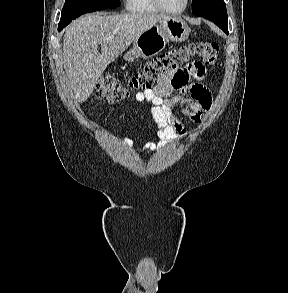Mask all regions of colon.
Instances as JSON below:
<instances>
[{"label": "colon", "instance_id": "1", "mask_svg": "<svg viewBox=\"0 0 288 293\" xmlns=\"http://www.w3.org/2000/svg\"><path fill=\"white\" fill-rule=\"evenodd\" d=\"M218 55L219 45L215 42H188L146 63L126 83L113 75H103L96 84V96L109 103H118L127 99L133 91L151 89L160 76L185 67L194 58L201 59L207 65H214L218 60Z\"/></svg>", "mask_w": 288, "mask_h": 293}]
</instances>
